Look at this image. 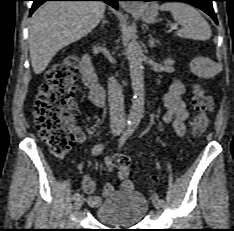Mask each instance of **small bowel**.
Segmentation results:
<instances>
[{"label":"small bowel","mask_w":234,"mask_h":231,"mask_svg":"<svg viewBox=\"0 0 234 231\" xmlns=\"http://www.w3.org/2000/svg\"><path fill=\"white\" fill-rule=\"evenodd\" d=\"M185 92L184 85L177 79H174L171 83L169 91L164 95L163 102L166 108V113L163 116V122L165 124H171L175 134L178 137L184 136L186 133L185 122L188 118V110L185 102L182 100V95ZM73 133L78 142L84 140V133L79 128H74ZM105 163L109 170L114 168V158L107 156ZM82 187L87 194V203L90 207H98L103 198L111 196L116 188L113 184L108 183L103 190V197L95 194V182L88 176L83 175ZM132 189V182L128 179H124L121 184V190L129 191Z\"/></svg>","instance_id":"obj_1"}]
</instances>
